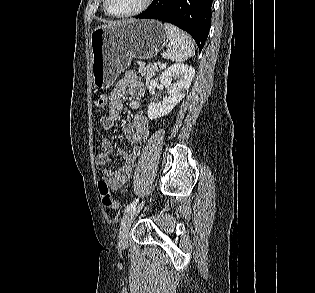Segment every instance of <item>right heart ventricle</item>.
<instances>
[{
  "instance_id": "right-heart-ventricle-1",
  "label": "right heart ventricle",
  "mask_w": 315,
  "mask_h": 293,
  "mask_svg": "<svg viewBox=\"0 0 315 293\" xmlns=\"http://www.w3.org/2000/svg\"><path fill=\"white\" fill-rule=\"evenodd\" d=\"M102 6H103V11H104V13L107 14L106 11H105V9H104V4H103ZM107 15H108V14H107Z\"/></svg>"
}]
</instances>
